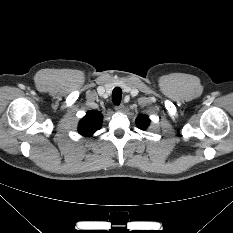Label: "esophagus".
<instances>
[{"mask_svg": "<svg viewBox=\"0 0 233 233\" xmlns=\"http://www.w3.org/2000/svg\"><path fill=\"white\" fill-rule=\"evenodd\" d=\"M123 109H124V105H123V104H120V105L115 106V110H116L117 112H121V111H123Z\"/></svg>", "mask_w": 233, "mask_h": 233, "instance_id": "esophagus-1", "label": "esophagus"}]
</instances>
